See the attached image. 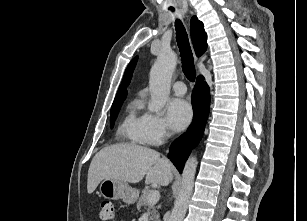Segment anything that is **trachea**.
Instances as JSON below:
<instances>
[{
	"mask_svg": "<svg viewBox=\"0 0 307 221\" xmlns=\"http://www.w3.org/2000/svg\"><path fill=\"white\" fill-rule=\"evenodd\" d=\"M175 28L176 39L182 60L183 72L189 81L194 82L196 78V71L186 30L180 20H176Z\"/></svg>",
	"mask_w": 307,
	"mask_h": 221,
	"instance_id": "obj_1",
	"label": "trachea"
}]
</instances>
